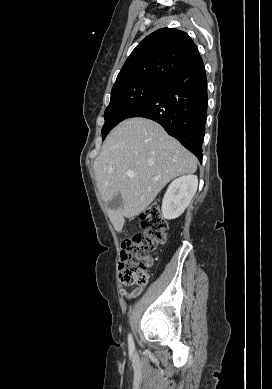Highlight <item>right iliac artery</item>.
Listing matches in <instances>:
<instances>
[{
  "instance_id": "obj_1",
  "label": "right iliac artery",
  "mask_w": 272,
  "mask_h": 389,
  "mask_svg": "<svg viewBox=\"0 0 272 389\" xmlns=\"http://www.w3.org/2000/svg\"><path fill=\"white\" fill-rule=\"evenodd\" d=\"M128 345H129V351L131 353L134 352L135 346H134V341H133L131 334L128 335Z\"/></svg>"
}]
</instances>
